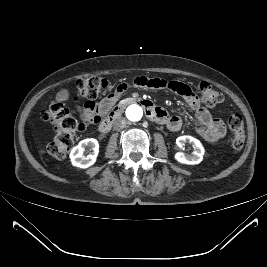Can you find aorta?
<instances>
[{
    "label": "aorta",
    "instance_id": "obj_1",
    "mask_svg": "<svg viewBox=\"0 0 267 267\" xmlns=\"http://www.w3.org/2000/svg\"><path fill=\"white\" fill-rule=\"evenodd\" d=\"M142 108L136 104L130 105L126 109V117L133 122L139 121L142 118Z\"/></svg>",
    "mask_w": 267,
    "mask_h": 267
}]
</instances>
